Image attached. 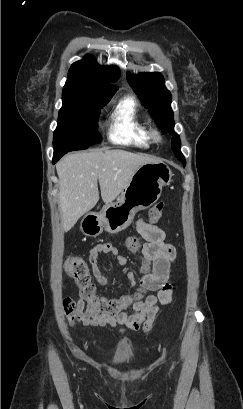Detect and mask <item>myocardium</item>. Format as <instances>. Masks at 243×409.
Masks as SVG:
<instances>
[{"label":"myocardium","mask_w":243,"mask_h":409,"mask_svg":"<svg viewBox=\"0 0 243 409\" xmlns=\"http://www.w3.org/2000/svg\"><path fill=\"white\" fill-rule=\"evenodd\" d=\"M151 137L157 143H161L163 141V135L159 130H152Z\"/></svg>","instance_id":"obj_1"}]
</instances>
